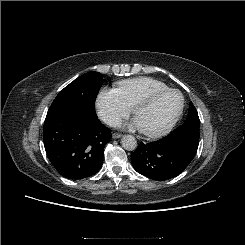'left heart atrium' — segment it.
Wrapping results in <instances>:
<instances>
[{
	"mask_svg": "<svg viewBox=\"0 0 245 245\" xmlns=\"http://www.w3.org/2000/svg\"><path fill=\"white\" fill-rule=\"evenodd\" d=\"M129 127L132 129H137V130H141L140 125L138 124L137 120L134 119L130 124Z\"/></svg>",
	"mask_w": 245,
	"mask_h": 245,
	"instance_id": "left-heart-atrium-1",
	"label": "left heart atrium"
}]
</instances>
